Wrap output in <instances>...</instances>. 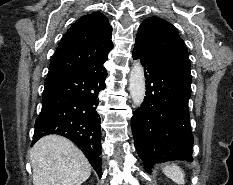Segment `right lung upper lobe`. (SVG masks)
<instances>
[{
  "label": "right lung upper lobe",
  "mask_w": 233,
  "mask_h": 185,
  "mask_svg": "<svg viewBox=\"0 0 233 185\" xmlns=\"http://www.w3.org/2000/svg\"><path fill=\"white\" fill-rule=\"evenodd\" d=\"M112 27L99 12L78 19L63 36L48 76L102 67L113 48Z\"/></svg>",
  "instance_id": "right-lung-upper-lobe-1"
}]
</instances>
